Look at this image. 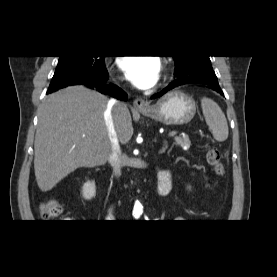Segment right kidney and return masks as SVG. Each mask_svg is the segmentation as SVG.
<instances>
[{
  "label": "right kidney",
  "mask_w": 277,
  "mask_h": 277,
  "mask_svg": "<svg viewBox=\"0 0 277 277\" xmlns=\"http://www.w3.org/2000/svg\"><path fill=\"white\" fill-rule=\"evenodd\" d=\"M96 195V185L94 181H87L82 187V196L86 200H90Z\"/></svg>",
  "instance_id": "right-kidney-1"
}]
</instances>
